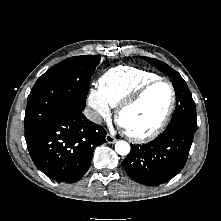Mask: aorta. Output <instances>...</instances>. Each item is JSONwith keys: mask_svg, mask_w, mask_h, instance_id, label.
<instances>
[{"mask_svg": "<svg viewBox=\"0 0 221 221\" xmlns=\"http://www.w3.org/2000/svg\"><path fill=\"white\" fill-rule=\"evenodd\" d=\"M115 151L121 156L127 155L130 152V145L126 141H118L115 144Z\"/></svg>", "mask_w": 221, "mask_h": 221, "instance_id": "1", "label": "aorta"}]
</instances>
